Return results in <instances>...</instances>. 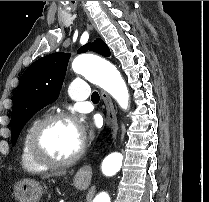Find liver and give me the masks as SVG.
<instances>
[{
	"label": "liver",
	"instance_id": "liver-1",
	"mask_svg": "<svg viewBox=\"0 0 209 202\" xmlns=\"http://www.w3.org/2000/svg\"><path fill=\"white\" fill-rule=\"evenodd\" d=\"M62 174H65V172L63 171V172H59V173H56V174H53V175H62ZM53 175H47L45 177L47 178V177H50V176H53Z\"/></svg>",
	"mask_w": 209,
	"mask_h": 202
}]
</instances>
